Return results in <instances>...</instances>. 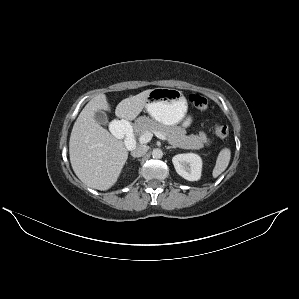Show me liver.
Wrapping results in <instances>:
<instances>
[{
    "instance_id": "1",
    "label": "liver",
    "mask_w": 299,
    "mask_h": 299,
    "mask_svg": "<svg viewBox=\"0 0 299 299\" xmlns=\"http://www.w3.org/2000/svg\"><path fill=\"white\" fill-rule=\"evenodd\" d=\"M151 90L123 99L116 107L117 117L134 120L146 105ZM110 111L105 94L91 99L74 123L69 155L77 177L87 186L108 190L119 178L128 158V150L122 140L116 139L95 120V112Z\"/></svg>"
}]
</instances>
